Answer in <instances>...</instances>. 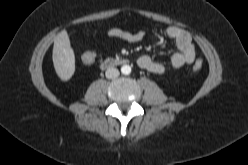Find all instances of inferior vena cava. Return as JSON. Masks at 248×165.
<instances>
[{
    "label": "inferior vena cava",
    "mask_w": 248,
    "mask_h": 165,
    "mask_svg": "<svg viewBox=\"0 0 248 165\" xmlns=\"http://www.w3.org/2000/svg\"><path fill=\"white\" fill-rule=\"evenodd\" d=\"M119 74H120V73H119V70L116 69V68H113V67L108 68V69L106 70V72H105V75H106V77H107L108 79L116 78V77L119 76Z\"/></svg>",
    "instance_id": "1"
}]
</instances>
